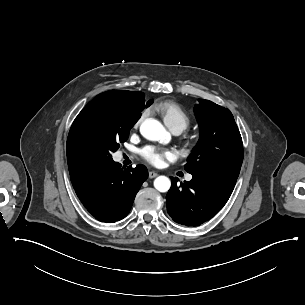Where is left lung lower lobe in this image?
Instances as JSON below:
<instances>
[{
    "instance_id": "left-lung-lower-lobe-1",
    "label": "left lung lower lobe",
    "mask_w": 305,
    "mask_h": 305,
    "mask_svg": "<svg viewBox=\"0 0 305 305\" xmlns=\"http://www.w3.org/2000/svg\"><path fill=\"white\" fill-rule=\"evenodd\" d=\"M191 181L177 184L171 178L166 196L167 212L186 226H199L211 219L228 201L237 179L192 174Z\"/></svg>"
}]
</instances>
